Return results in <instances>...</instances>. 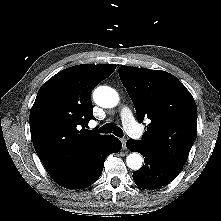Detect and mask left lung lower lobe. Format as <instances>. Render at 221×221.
<instances>
[{
  "label": "left lung lower lobe",
  "instance_id": "1",
  "mask_svg": "<svg viewBox=\"0 0 221 221\" xmlns=\"http://www.w3.org/2000/svg\"><path fill=\"white\" fill-rule=\"evenodd\" d=\"M127 148L144 157V165L133 173L137 186L143 189H157L169 184L182 170V166L166 159L154 149L140 141L128 140Z\"/></svg>",
  "mask_w": 221,
  "mask_h": 221
}]
</instances>
